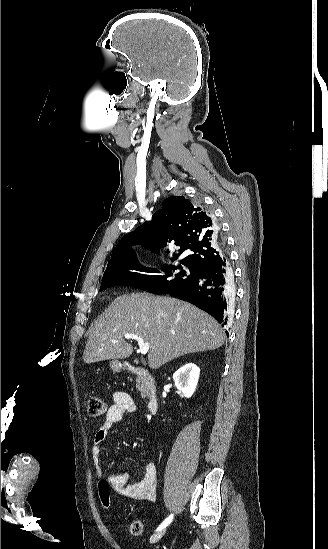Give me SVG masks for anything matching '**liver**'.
<instances>
[{
  "label": "liver",
  "instance_id": "liver-1",
  "mask_svg": "<svg viewBox=\"0 0 328 549\" xmlns=\"http://www.w3.org/2000/svg\"><path fill=\"white\" fill-rule=\"evenodd\" d=\"M128 333L149 343L151 369L188 353L219 349L225 341L219 323L195 305L171 297L131 293L114 299L92 323L84 363L130 357L133 347L124 339Z\"/></svg>",
  "mask_w": 328,
  "mask_h": 549
}]
</instances>
